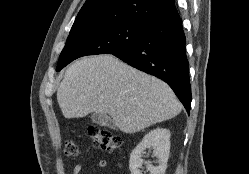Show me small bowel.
I'll list each match as a JSON object with an SVG mask.
<instances>
[{"instance_id": "1", "label": "small bowel", "mask_w": 249, "mask_h": 174, "mask_svg": "<svg viewBox=\"0 0 249 174\" xmlns=\"http://www.w3.org/2000/svg\"><path fill=\"white\" fill-rule=\"evenodd\" d=\"M96 166L100 169H104L108 166V162L106 160H99ZM84 164L78 163L73 167L72 174H81L83 170Z\"/></svg>"}]
</instances>
